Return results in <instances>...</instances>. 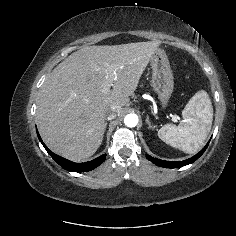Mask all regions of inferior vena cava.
<instances>
[{
	"instance_id": "inferior-vena-cava-1",
	"label": "inferior vena cava",
	"mask_w": 236,
	"mask_h": 236,
	"mask_svg": "<svg viewBox=\"0 0 236 236\" xmlns=\"http://www.w3.org/2000/svg\"><path fill=\"white\" fill-rule=\"evenodd\" d=\"M119 112V107L118 106H111L106 110V119L107 120H113L116 118L117 114Z\"/></svg>"
}]
</instances>
